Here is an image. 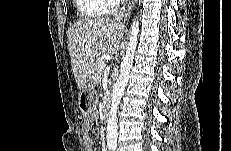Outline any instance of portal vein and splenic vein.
Wrapping results in <instances>:
<instances>
[{
  "instance_id": "1",
  "label": "portal vein and splenic vein",
  "mask_w": 231,
  "mask_h": 151,
  "mask_svg": "<svg viewBox=\"0 0 231 151\" xmlns=\"http://www.w3.org/2000/svg\"><path fill=\"white\" fill-rule=\"evenodd\" d=\"M105 63L104 62H101L100 64H99V70L100 71H102L104 68H105Z\"/></svg>"
}]
</instances>
